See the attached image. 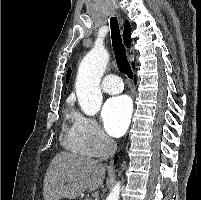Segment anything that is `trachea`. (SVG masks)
Segmentation results:
<instances>
[{"instance_id":"trachea-1","label":"trachea","mask_w":201,"mask_h":200,"mask_svg":"<svg viewBox=\"0 0 201 200\" xmlns=\"http://www.w3.org/2000/svg\"><path fill=\"white\" fill-rule=\"evenodd\" d=\"M112 47L115 54L116 63L119 69L128 76L133 78V72L126 57V50L122 43L118 21L115 17L110 18Z\"/></svg>"}]
</instances>
